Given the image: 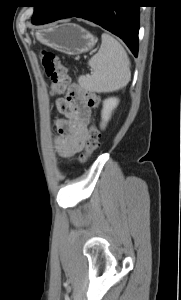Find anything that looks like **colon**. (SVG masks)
Segmentation results:
<instances>
[{
  "label": "colon",
  "instance_id": "colon-1",
  "mask_svg": "<svg viewBox=\"0 0 181 300\" xmlns=\"http://www.w3.org/2000/svg\"><path fill=\"white\" fill-rule=\"evenodd\" d=\"M43 66L45 74L51 82V91L55 94H65L68 100V103L61 107L62 114L70 116L73 106L81 102L89 108L99 106L100 99L95 92L71 83L67 68L61 63L58 56L53 53H44ZM99 145L100 132L95 124H91L85 136L83 150L80 155L81 162H86L99 148Z\"/></svg>",
  "mask_w": 181,
  "mask_h": 300
}]
</instances>
